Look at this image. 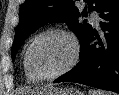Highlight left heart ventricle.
<instances>
[{"label":"left heart ventricle","instance_id":"left-heart-ventricle-1","mask_svg":"<svg viewBox=\"0 0 119 95\" xmlns=\"http://www.w3.org/2000/svg\"><path fill=\"white\" fill-rule=\"evenodd\" d=\"M73 55L71 41L63 35L43 38L33 50L32 60L36 70L51 75L64 68Z\"/></svg>","mask_w":119,"mask_h":95}]
</instances>
